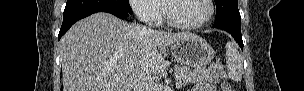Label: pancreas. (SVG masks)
Wrapping results in <instances>:
<instances>
[{"mask_svg":"<svg viewBox=\"0 0 304 91\" xmlns=\"http://www.w3.org/2000/svg\"><path fill=\"white\" fill-rule=\"evenodd\" d=\"M172 71L177 83H180L181 86L203 81L219 82V79L225 75L223 66L220 64H214L207 69L202 68L195 70L184 66H175Z\"/></svg>","mask_w":304,"mask_h":91,"instance_id":"1","label":"pancreas"}]
</instances>
